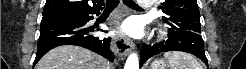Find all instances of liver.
<instances>
[{
	"instance_id": "obj_1",
	"label": "liver",
	"mask_w": 246,
	"mask_h": 69,
	"mask_svg": "<svg viewBox=\"0 0 246 69\" xmlns=\"http://www.w3.org/2000/svg\"><path fill=\"white\" fill-rule=\"evenodd\" d=\"M35 69H111V65L90 50L66 45L50 50Z\"/></svg>"
}]
</instances>
